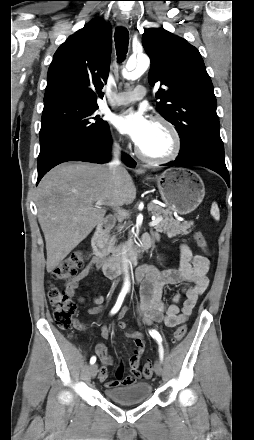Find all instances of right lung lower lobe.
Returning a JSON list of instances; mask_svg holds the SVG:
<instances>
[{"mask_svg":"<svg viewBox=\"0 0 254 440\" xmlns=\"http://www.w3.org/2000/svg\"><path fill=\"white\" fill-rule=\"evenodd\" d=\"M111 136L109 129L100 139L86 141L78 146H71L57 150L38 167L37 184L41 178L54 166L67 161H85L92 163H106L110 159ZM122 161L129 167H135L136 162L127 154H123Z\"/></svg>","mask_w":254,"mask_h":440,"instance_id":"right-lung-lower-lobe-1","label":"right lung lower lobe"}]
</instances>
